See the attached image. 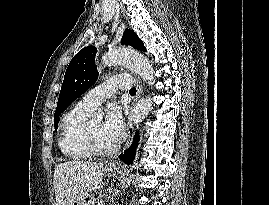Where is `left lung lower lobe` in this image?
<instances>
[{
  "instance_id": "1",
  "label": "left lung lower lobe",
  "mask_w": 269,
  "mask_h": 205,
  "mask_svg": "<svg viewBox=\"0 0 269 205\" xmlns=\"http://www.w3.org/2000/svg\"><path fill=\"white\" fill-rule=\"evenodd\" d=\"M138 140H139V134L138 132L135 134L134 136V140H133V143L131 145V147L126 151L124 152V154L122 156H119L121 157V159L127 163V164H131L134 157H135V152H136V148H137V145H138Z\"/></svg>"
}]
</instances>
